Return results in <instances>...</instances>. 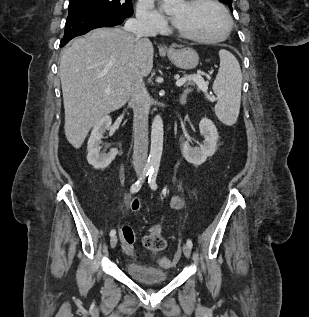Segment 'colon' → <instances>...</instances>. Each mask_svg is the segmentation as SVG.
<instances>
[{
	"label": "colon",
	"instance_id": "1",
	"mask_svg": "<svg viewBox=\"0 0 309 317\" xmlns=\"http://www.w3.org/2000/svg\"><path fill=\"white\" fill-rule=\"evenodd\" d=\"M129 206L133 212H136L140 208V203L137 199H134L130 202ZM120 238L125 247H132L135 241L133 229L130 226H123L120 229ZM143 243L148 250L153 252L161 251L166 245L165 240L160 236L157 228L151 230V232L144 238ZM169 259L170 258L167 257L161 258L160 264L164 267L171 266L172 264H170Z\"/></svg>",
	"mask_w": 309,
	"mask_h": 317
}]
</instances>
